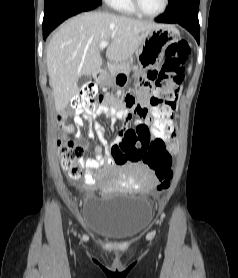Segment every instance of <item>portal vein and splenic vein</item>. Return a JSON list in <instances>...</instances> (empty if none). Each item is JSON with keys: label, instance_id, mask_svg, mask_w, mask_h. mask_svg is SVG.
<instances>
[{"label": "portal vein and splenic vein", "instance_id": "obj_1", "mask_svg": "<svg viewBox=\"0 0 238 278\" xmlns=\"http://www.w3.org/2000/svg\"><path fill=\"white\" fill-rule=\"evenodd\" d=\"M108 45H109V42L105 41V42L100 43L99 48L100 49H105Z\"/></svg>", "mask_w": 238, "mask_h": 278}]
</instances>
